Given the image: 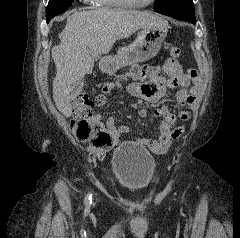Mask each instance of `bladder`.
Returning a JSON list of instances; mask_svg holds the SVG:
<instances>
[{
	"mask_svg": "<svg viewBox=\"0 0 240 238\" xmlns=\"http://www.w3.org/2000/svg\"><path fill=\"white\" fill-rule=\"evenodd\" d=\"M155 159L147 148L135 142H124L114 149L111 169L116 183L138 193L147 189L155 173Z\"/></svg>",
	"mask_w": 240,
	"mask_h": 238,
	"instance_id": "bladder-1",
	"label": "bladder"
}]
</instances>
